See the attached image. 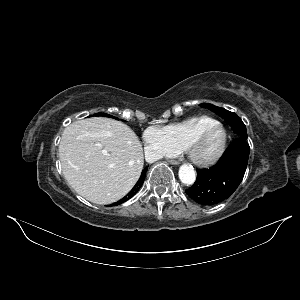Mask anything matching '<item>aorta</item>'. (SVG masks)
<instances>
[{
    "label": "aorta",
    "mask_w": 300,
    "mask_h": 300,
    "mask_svg": "<svg viewBox=\"0 0 300 300\" xmlns=\"http://www.w3.org/2000/svg\"><path fill=\"white\" fill-rule=\"evenodd\" d=\"M179 179L185 185H192L196 180V173L191 165L184 164L179 168Z\"/></svg>",
    "instance_id": "1"
}]
</instances>
